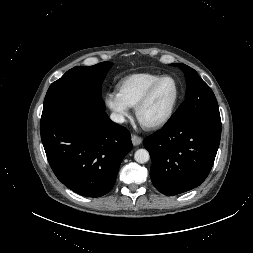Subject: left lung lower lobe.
<instances>
[{
    "instance_id": "1",
    "label": "left lung lower lobe",
    "mask_w": 253,
    "mask_h": 253,
    "mask_svg": "<svg viewBox=\"0 0 253 253\" xmlns=\"http://www.w3.org/2000/svg\"><path fill=\"white\" fill-rule=\"evenodd\" d=\"M220 137V119L196 118L164 126L145 138L153 185L169 196L199 186L213 166Z\"/></svg>"
}]
</instances>
